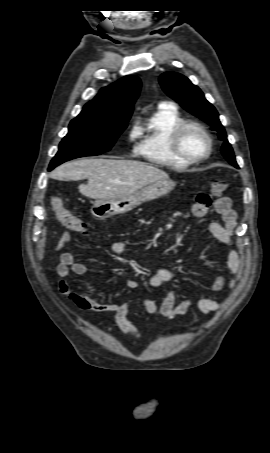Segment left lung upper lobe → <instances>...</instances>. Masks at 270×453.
Returning a JSON list of instances; mask_svg holds the SVG:
<instances>
[{
  "label": "left lung upper lobe",
  "instance_id": "left-lung-upper-lobe-1",
  "mask_svg": "<svg viewBox=\"0 0 270 453\" xmlns=\"http://www.w3.org/2000/svg\"><path fill=\"white\" fill-rule=\"evenodd\" d=\"M159 82L169 97L180 102L188 112L207 122L213 130L218 132L219 138L224 141L222 154L229 163L239 168L226 132L219 121V115L214 106L205 99L203 92L187 77L175 72L163 73Z\"/></svg>",
  "mask_w": 270,
  "mask_h": 453
}]
</instances>
